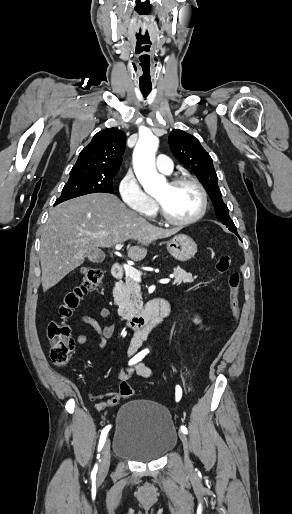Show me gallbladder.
I'll return each instance as SVG.
<instances>
[{
	"mask_svg": "<svg viewBox=\"0 0 292 514\" xmlns=\"http://www.w3.org/2000/svg\"><path fill=\"white\" fill-rule=\"evenodd\" d=\"M103 258H105L104 254H103ZM103 258H102V260H103Z\"/></svg>",
	"mask_w": 292,
	"mask_h": 514,
	"instance_id": "1",
	"label": "gallbladder"
}]
</instances>
